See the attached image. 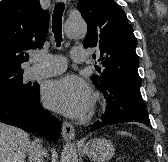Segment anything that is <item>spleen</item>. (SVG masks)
Instances as JSON below:
<instances>
[{"mask_svg": "<svg viewBox=\"0 0 168 162\" xmlns=\"http://www.w3.org/2000/svg\"><path fill=\"white\" fill-rule=\"evenodd\" d=\"M120 134H124V135H130L131 136V134L130 133H127V132H119ZM145 162H150L149 160H146Z\"/></svg>", "mask_w": 168, "mask_h": 162, "instance_id": "1", "label": "spleen"}]
</instances>
